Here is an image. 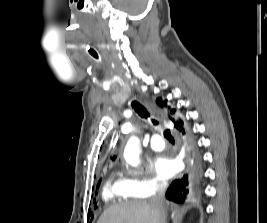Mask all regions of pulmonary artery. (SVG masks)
I'll list each match as a JSON object with an SVG mask.
<instances>
[{"mask_svg":"<svg viewBox=\"0 0 267 223\" xmlns=\"http://www.w3.org/2000/svg\"><path fill=\"white\" fill-rule=\"evenodd\" d=\"M150 147L154 151H161L165 147V142L160 135L155 134L150 140Z\"/></svg>","mask_w":267,"mask_h":223,"instance_id":"1","label":"pulmonary artery"}]
</instances>
